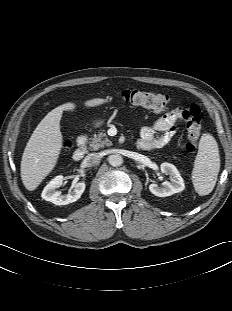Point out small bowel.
<instances>
[{
  "label": "small bowel",
  "mask_w": 232,
  "mask_h": 311,
  "mask_svg": "<svg viewBox=\"0 0 232 311\" xmlns=\"http://www.w3.org/2000/svg\"><path fill=\"white\" fill-rule=\"evenodd\" d=\"M183 108L170 111L151 126L143 127L138 148L146 151L157 150L167 145L177 130V122L182 118Z\"/></svg>",
  "instance_id": "obj_1"
}]
</instances>
